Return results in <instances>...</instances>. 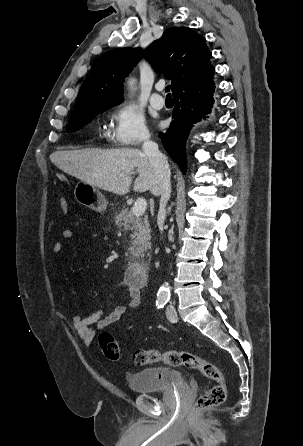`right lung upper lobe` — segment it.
I'll list each match as a JSON object with an SVG mask.
<instances>
[{
  "mask_svg": "<svg viewBox=\"0 0 303 446\" xmlns=\"http://www.w3.org/2000/svg\"><path fill=\"white\" fill-rule=\"evenodd\" d=\"M145 55L156 72L172 80V92L213 76L211 52L205 39L187 27H171L144 52L137 48H117L103 54L83 83L72 115L118 104L123 80Z\"/></svg>",
  "mask_w": 303,
  "mask_h": 446,
  "instance_id": "cb5924a9",
  "label": "right lung upper lobe"
}]
</instances>
